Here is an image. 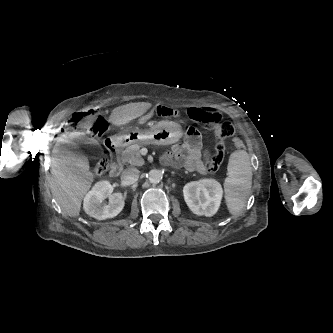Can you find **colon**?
I'll list each match as a JSON object with an SVG mask.
<instances>
[{"label":"colon","mask_w":333,"mask_h":333,"mask_svg":"<svg viewBox=\"0 0 333 333\" xmlns=\"http://www.w3.org/2000/svg\"><path fill=\"white\" fill-rule=\"evenodd\" d=\"M162 111L156 114V116L159 117H167L171 116L173 114L172 110L162 107ZM209 113H215L214 109L211 108H192L189 110V115L191 118L195 120H201L203 121V117L207 116ZM92 116V113L90 111L73 114L69 120L67 125L69 127H77L82 120H86L87 118H90ZM204 122V121H203ZM214 132L215 137L217 139V144L215 145L214 152L210 154L208 151L204 153L205 157V169L208 172H215L220 167L224 152H225V144L224 140L226 138H229L235 134V127L231 122H218L214 123ZM105 125L102 120H97L93 126L91 127L92 133L97 135L104 131ZM188 133L190 135L193 134V130H189ZM246 147V142L243 139H237L235 141V148L237 150H243ZM108 165V157L103 156L102 159L97 164L95 171L96 173H101L106 170Z\"/></svg>","instance_id":"obj_1"}]
</instances>
